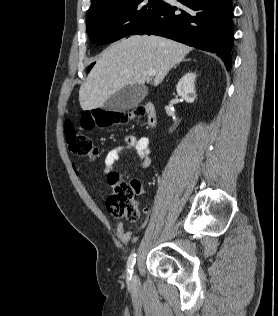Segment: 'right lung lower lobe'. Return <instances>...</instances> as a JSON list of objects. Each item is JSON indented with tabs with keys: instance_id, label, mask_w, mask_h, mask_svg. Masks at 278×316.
Returning a JSON list of instances; mask_svg holds the SVG:
<instances>
[{
	"instance_id": "right-lung-lower-lobe-1",
	"label": "right lung lower lobe",
	"mask_w": 278,
	"mask_h": 316,
	"mask_svg": "<svg viewBox=\"0 0 278 316\" xmlns=\"http://www.w3.org/2000/svg\"><path fill=\"white\" fill-rule=\"evenodd\" d=\"M159 9L131 35L153 34L216 53L230 68L233 46L231 0H177Z\"/></svg>"
}]
</instances>
